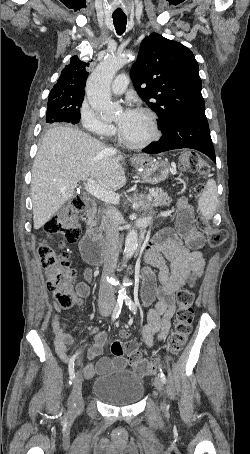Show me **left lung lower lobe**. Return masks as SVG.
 <instances>
[{"label": "left lung lower lobe", "instance_id": "0a47b994", "mask_svg": "<svg viewBox=\"0 0 250 454\" xmlns=\"http://www.w3.org/2000/svg\"><path fill=\"white\" fill-rule=\"evenodd\" d=\"M163 135L158 142H152L142 151L148 154L191 148L206 154L214 163L215 152L205 113L181 116L161 130Z\"/></svg>", "mask_w": 250, "mask_h": 454}]
</instances>
